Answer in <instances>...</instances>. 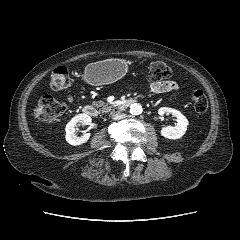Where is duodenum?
Masks as SVG:
<instances>
[{"label": "duodenum", "mask_w": 240, "mask_h": 240, "mask_svg": "<svg viewBox=\"0 0 240 240\" xmlns=\"http://www.w3.org/2000/svg\"><path fill=\"white\" fill-rule=\"evenodd\" d=\"M135 102H136V99H127V100L118 102L111 107V111L112 112L124 111L125 109L130 107ZM82 112L89 117H95L96 116V110L90 105H85L82 109Z\"/></svg>", "instance_id": "duodenum-1"}]
</instances>
